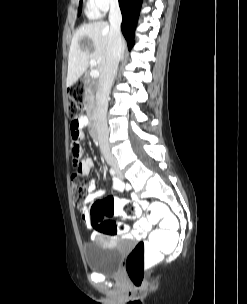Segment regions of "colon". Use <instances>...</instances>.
Listing matches in <instances>:
<instances>
[{
  "instance_id": "1",
  "label": "colon",
  "mask_w": 247,
  "mask_h": 304,
  "mask_svg": "<svg viewBox=\"0 0 247 304\" xmlns=\"http://www.w3.org/2000/svg\"><path fill=\"white\" fill-rule=\"evenodd\" d=\"M84 101V85L77 82L68 89V113L72 122H77ZM72 152V151H71ZM88 180L77 167L71 175V188L75 204L81 209L84 206ZM149 217L147 225H154L153 233L146 241L138 242L126 259V273L130 284L140 288L144 281V271L155 259H161V253H172L178 244V227L180 221L177 214H171L167 202H151L148 206ZM140 214V207L133 202L106 197L93 203L90 218L94 228L107 235H116L122 231V226L112 221L114 215L126 218H136ZM125 232V231H124Z\"/></svg>"
}]
</instances>
